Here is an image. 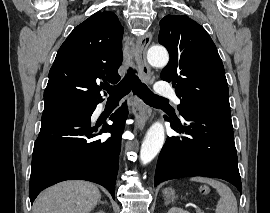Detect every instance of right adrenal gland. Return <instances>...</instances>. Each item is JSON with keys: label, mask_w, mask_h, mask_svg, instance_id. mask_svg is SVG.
Here are the masks:
<instances>
[{"label": "right adrenal gland", "mask_w": 270, "mask_h": 213, "mask_svg": "<svg viewBox=\"0 0 270 213\" xmlns=\"http://www.w3.org/2000/svg\"><path fill=\"white\" fill-rule=\"evenodd\" d=\"M99 203H100V204H106V202H103V201H100V200H99Z\"/></svg>", "instance_id": "2a0ac1e0"}]
</instances>
